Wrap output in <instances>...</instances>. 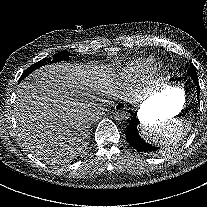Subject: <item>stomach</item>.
Masks as SVG:
<instances>
[{"label":"stomach","instance_id":"stomach-1","mask_svg":"<svg viewBox=\"0 0 207 207\" xmlns=\"http://www.w3.org/2000/svg\"><path fill=\"white\" fill-rule=\"evenodd\" d=\"M185 92L181 77L171 76L164 88L151 95L140 106L138 117L142 125L174 118L183 109Z\"/></svg>","mask_w":207,"mask_h":207}]
</instances>
